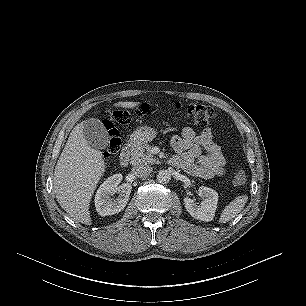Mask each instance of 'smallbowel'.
<instances>
[{"label":"small bowel","mask_w":306,"mask_h":306,"mask_svg":"<svg viewBox=\"0 0 306 306\" xmlns=\"http://www.w3.org/2000/svg\"><path fill=\"white\" fill-rule=\"evenodd\" d=\"M171 145L178 153L171 158V164L189 175L211 179L225 173L226 158L221 146L213 140L211 128H205L197 135L191 127H184L181 136L171 137Z\"/></svg>","instance_id":"c3829d8e"}]
</instances>
